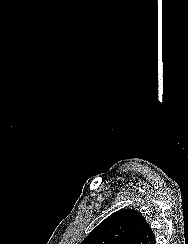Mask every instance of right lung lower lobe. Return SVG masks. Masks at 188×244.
I'll list each match as a JSON object with an SVG mask.
<instances>
[{
	"label": "right lung lower lobe",
	"instance_id": "98d812e1",
	"mask_svg": "<svg viewBox=\"0 0 188 244\" xmlns=\"http://www.w3.org/2000/svg\"><path fill=\"white\" fill-rule=\"evenodd\" d=\"M153 244H156V240L153 242Z\"/></svg>",
	"mask_w": 188,
	"mask_h": 244
}]
</instances>
